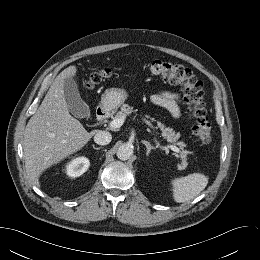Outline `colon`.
Here are the masks:
<instances>
[{"label":"colon","mask_w":260,"mask_h":260,"mask_svg":"<svg viewBox=\"0 0 260 260\" xmlns=\"http://www.w3.org/2000/svg\"><path fill=\"white\" fill-rule=\"evenodd\" d=\"M148 70L151 75L166 83L183 87L187 112L193 121V134L202 143L210 142L212 132L205 108L202 82L189 68L174 62L154 60L148 64ZM110 76L111 70L109 69L93 73L90 76L88 87L91 88Z\"/></svg>","instance_id":"obj_1"}]
</instances>
